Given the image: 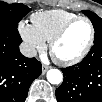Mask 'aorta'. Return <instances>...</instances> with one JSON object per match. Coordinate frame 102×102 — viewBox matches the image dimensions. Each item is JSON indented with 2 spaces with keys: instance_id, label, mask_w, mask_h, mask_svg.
I'll list each match as a JSON object with an SVG mask.
<instances>
[{
  "instance_id": "aorta-1",
  "label": "aorta",
  "mask_w": 102,
  "mask_h": 102,
  "mask_svg": "<svg viewBox=\"0 0 102 102\" xmlns=\"http://www.w3.org/2000/svg\"><path fill=\"white\" fill-rule=\"evenodd\" d=\"M47 80L51 84H60L63 80V75L60 70L58 69H50L47 72Z\"/></svg>"
}]
</instances>
